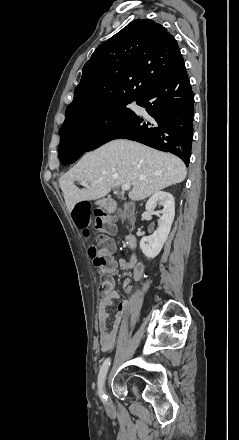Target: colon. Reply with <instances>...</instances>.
Listing matches in <instances>:
<instances>
[{
  "label": "colon",
  "mask_w": 239,
  "mask_h": 440,
  "mask_svg": "<svg viewBox=\"0 0 239 440\" xmlns=\"http://www.w3.org/2000/svg\"><path fill=\"white\" fill-rule=\"evenodd\" d=\"M131 206L127 205L126 210H130ZM123 214L112 215L103 210H97L94 214V225L100 234L95 238L97 245H91L88 249L89 257L93 264L100 270L104 280L101 284V291L104 292L109 288L111 277L115 274L117 263L113 257L114 245L107 237L114 229L117 220ZM73 219L76 225L83 229L84 237L93 240L92 231L88 228L90 223V206L87 203H79L73 211Z\"/></svg>",
  "instance_id": "1"
}]
</instances>
